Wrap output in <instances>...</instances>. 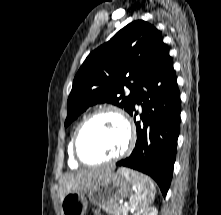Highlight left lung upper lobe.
Here are the masks:
<instances>
[{"mask_svg": "<svg viewBox=\"0 0 221 215\" xmlns=\"http://www.w3.org/2000/svg\"><path fill=\"white\" fill-rule=\"evenodd\" d=\"M162 44L159 30L137 20L92 51L74 78L65 127L97 103L108 102L130 113L137 89ZM124 87L131 90L129 94Z\"/></svg>", "mask_w": 221, "mask_h": 215, "instance_id": "left-lung-upper-lobe-1", "label": "left lung upper lobe"}]
</instances>
